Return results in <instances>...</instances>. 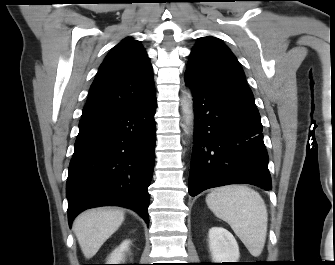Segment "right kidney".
Listing matches in <instances>:
<instances>
[{"label":"right kidney","instance_id":"ca27d5eb","mask_svg":"<svg viewBox=\"0 0 335 265\" xmlns=\"http://www.w3.org/2000/svg\"><path fill=\"white\" fill-rule=\"evenodd\" d=\"M130 245L129 240L123 241L118 248H116L108 258V264H120L125 258V252L128 251Z\"/></svg>","mask_w":335,"mask_h":265}]
</instances>
